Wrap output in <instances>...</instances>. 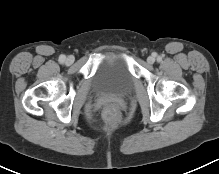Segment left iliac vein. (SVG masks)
<instances>
[{
	"mask_svg": "<svg viewBox=\"0 0 219 174\" xmlns=\"http://www.w3.org/2000/svg\"><path fill=\"white\" fill-rule=\"evenodd\" d=\"M147 62H148L149 64H153V63L155 62V58H154L153 56H149V57L147 58Z\"/></svg>",
	"mask_w": 219,
	"mask_h": 174,
	"instance_id": "4c4485c4",
	"label": "left iliac vein"
}]
</instances>
